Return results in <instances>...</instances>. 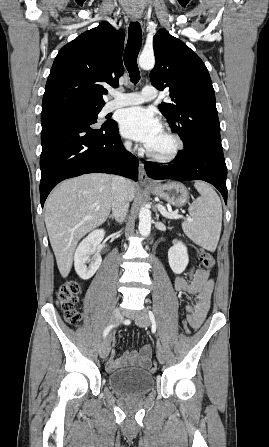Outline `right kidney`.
<instances>
[{"mask_svg":"<svg viewBox=\"0 0 269 447\" xmlns=\"http://www.w3.org/2000/svg\"><path fill=\"white\" fill-rule=\"evenodd\" d=\"M105 235L104 229H94L87 237H84L80 241L75 253H74V267L76 273L82 277V279H89L94 273H96L99 265H101L102 257L99 251H96L97 245L101 243ZM92 255V259H90ZM88 261H91V265H86Z\"/></svg>","mask_w":269,"mask_h":447,"instance_id":"1","label":"right kidney"}]
</instances>
